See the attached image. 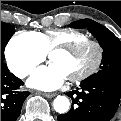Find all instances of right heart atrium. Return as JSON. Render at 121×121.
I'll use <instances>...</instances> for the list:
<instances>
[{"instance_id": "1", "label": "right heart atrium", "mask_w": 121, "mask_h": 121, "mask_svg": "<svg viewBox=\"0 0 121 121\" xmlns=\"http://www.w3.org/2000/svg\"><path fill=\"white\" fill-rule=\"evenodd\" d=\"M5 57L10 70L23 77L44 59L45 54L36 39L18 33L9 40Z\"/></svg>"}]
</instances>
